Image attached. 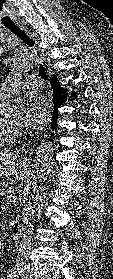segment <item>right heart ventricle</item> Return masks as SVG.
I'll list each match as a JSON object with an SVG mask.
<instances>
[{
  "mask_svg": "<svg viewBox=\"0 0 113 279\" xmlns=\"http://www.w3.org/2000/svg\"><path fill=\"white\" fill-rule=\"evenodd\" d=\"M9 95L0 90V147L13 141L15 130L5 123V105Z\"/></svg>",
  "mask_w": 113,
  "mask_h": 279,
  "instance_id": "obj_1",
  "label": "right heart ventricle"
}]
</instances>
